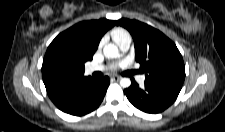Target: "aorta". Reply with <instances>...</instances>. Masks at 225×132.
Listing matches in <instances>:
<instances>
[{"label": "aorta", "instance_id": "762f6f07", "mask_svg": "<svg viewBox=\"0 0 225 132\" xmlns=\"http://www.w3.org/2000/svg\"><path fill=\"white\" fill-rule=\"evenodd\" d=\"M103 54L106 58H116L119 55L118 47L114 44H107L103 48ZM120 85L123 88H128L131 85V80L129 78H122Z\"/></svg>", "mask_w": 225, "mask_h": 132}]
</instances>
